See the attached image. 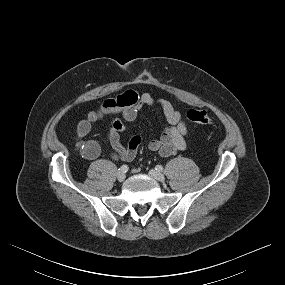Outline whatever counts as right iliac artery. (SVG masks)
Masks as SVG:
<instances>
[{
    "label": "right iliac artery",
    "instance_id": "obj_1",
    "mask_svg": "<svg viewBox=\"0 0 285 285\" xmlns=\"http://www.w3.org/2000/svg\"><path fill=\"white\" fill-rule=\"evenodd\" d=\"M128 169H129V168H128L127 165H122L119 170H120L121 172H124V173H125V172L128 171Z\"/></svg>",
    "mask_w": 285,
    "mask_h": 285
}]
</instances>
